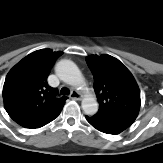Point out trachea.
I'll list each match as a JSON object with an SVG mask.
<instances>
[{
	"label": "trachea",
	"instance_id": "3493384b",
	"mask_svg": "<svg viewBox=\"0 0 163 163\" xmlns=\"http://www.w3.org/2000/svg\"><path fill=\"white\" fill-rule=\"evenodd\" d=\"M60 92H61V95H69L70 94V90L66 87H63Z\"/></svg>",
	"mask_w": 163,
	"mask_h": 163
}]
</instances>
